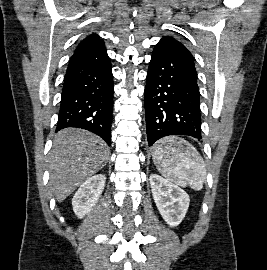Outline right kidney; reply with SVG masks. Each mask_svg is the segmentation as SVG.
<instances>
[{
	"instance_id": "1",
	"label": "right kidney",
	"mask_w": 267,
	"mask_h": 270,
	"mask_svg": "<svg viewBox=\"0 0 267 270\" xmlns=\"http://www.w3.org/2000/svg\"><path fill=\"white\" fill-rule=\"evenodd\" d=\"M105 175L98 174L88 178L77 190L72 206L76 216L82 219L96 205L105 186Z\"/></svg>"
}]
</instances>
